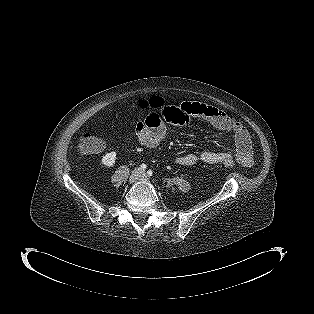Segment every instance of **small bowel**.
<instances>
[{"label":"small bowel","instance_id":"small-bowel-1","mask_svg":"<svg viewBox=\"0 0 314 314\" xmlns=\"http://www.w3.org/2000/svg\"><path fill=\"white\" fill-rule=\"evenodd\" d=\"M199 118L207 121L214 128L233 135L236 146L235 153L209 150L199 153H186L177 157L176 162L178 164L182 166H192L198 162L219 164L222 163L224 157L234 156L242 166L249 167L252 165L251 138L245 127L233 117L211 105L191 101L183 102L181 105L165 104L159 108L158 113H154L151 121L147 117L137 123L136 135L143 146L155 148L166 137L164 124L190 126L196 124Z\"/></svg>","mask_w":314,"mask_h":314}]
</instances>
